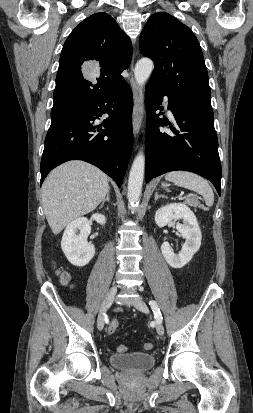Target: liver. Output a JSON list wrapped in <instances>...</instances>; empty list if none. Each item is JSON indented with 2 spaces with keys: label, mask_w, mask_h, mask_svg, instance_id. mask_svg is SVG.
Wrapping results in <instances>:
<instances>
[{
  "label": "liver",
  "mask_w": 253,
  "mask_h": 413,
  "mask_svg": "<svg viewBox=\"0 0 253 413\" xmlns=\"http://www.w3.org/2000/svg\"><path fill=\"white\" fill-rule=\"evenodd\" d=\"M109 191L107 175L87 162L69 161L52 170L42 185V204L52 232L59 234L93 211Z\"/></svg>",
  "instance_id": "obj_1"
}]
</instances>
